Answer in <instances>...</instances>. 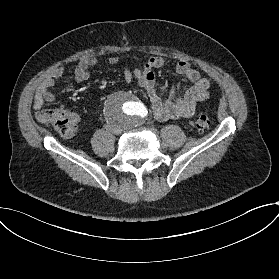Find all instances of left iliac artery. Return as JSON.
I'll use <instances>...</instances> for the list:
<instances>
[{"label": "left iliac artery", "instance_id": "1", "mask_svg": "<svg viewBox=\"0 0 279 279\" xmlns=\"http://www.w3.org/2000/svg\"><path fill=\"white\" fill-rule=\"evenodd\" d=\"M140 113H141V116H143V117H144L145 115H147V113H148V112H147V110H146V109H143V110H141V112H140Z\"/></svg>", "mask_w": 279, "mask_h": 279}]
</instances>
